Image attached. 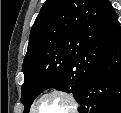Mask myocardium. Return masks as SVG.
Returning a JSON list of instances; mask_svg holds the SVG:
<instances>
[{"instance_id": "1", "label": "myocardium", "mask_w": 121, "mask_h": 113, "mask_svg": "<svg viewBox=\"0 0 121 113\" xmlns=\"http://www.w3.org/2000/svg\"><path fill=\"white\" fill-rule=\"evenodd\" d=\"M50 96H59L61 98H63L65 101L68 102L69 106H70V111L67 113H72V111H76L78 109V102L76 100V98L70 94L69 92L63 90V89H53L51 91H48L44 94H42L35 102L34 106H33V110L35 111V113H37L38 111V107L40 105V103L47 97Z\"/></svg>"}]
</instances>
